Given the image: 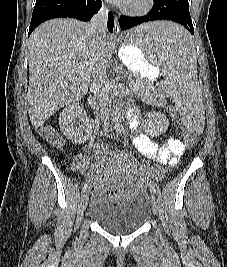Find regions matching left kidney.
Masks as SVG:
<instances>
[{
  "instance_id": "5707ae66",
  "label": "left kidney",
  "mask_w": 227,
  "mask_h": 267,
  "mask_svg": "<svg viewBox=\"0 0 227 267\" xmlns=\"http://www.w3.org/2000/svg\"><path fill=\"white\" fill-rule=\"evenodd\" d=\"M145 125L151 135L158 136L166 131L169 121L163 113L152 111L146 115Z\"/></svg>"
}]
</instances>
